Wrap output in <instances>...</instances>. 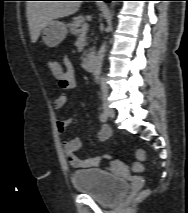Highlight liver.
I'll return each mask as SVG.
<instances>
[{"label":"liver","instance_id":"6515ba94","mask_svg":"<svg viewBox=\"0 0 188 213\" xmlns=\"http://www.w3.org/2000/svg\"><path fill=\"white\" fill-rule=\"evenodd\" d=\"M79 1H29L26 5L31 42L36 43L41 29L54 19L74 14Z\"/></svg>","mask_w":188,"mask_h":213}]
</instances>
